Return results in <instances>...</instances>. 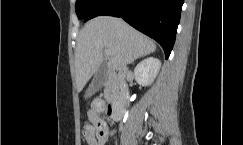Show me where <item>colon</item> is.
<instances>
[{
	"mask_svg": "<svg viewBox=\"0 0 243 145\" xmlns=\"http://www.w3.org/2000/svg\"><path fill=\"white\" fill-rule=\"evenodd\" d=\"M95 131V127L90 123V121H86L82 128V134L87 139L91 136Z\"/></svg>",
	"mask_w": 243,
	"mask_h": 145,
	"instance_id": "1",
	"label": "colon"
}]
</instances>
